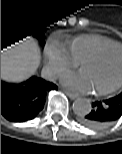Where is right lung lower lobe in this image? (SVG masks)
I'll list each match as a JSON object with an SVG mask.
<instances>
[{"label":"right lung lower lobe","instance_id":"obj_1","mask_svg":"<svg viewBox=\"0 0 122 154\" xmlns=\"http://www.w3.org/2000/svg\"><path fill=\"white\" fill-rule=\"evenodd\" d=\"M57 86L32 77L19 84L1 81V114L9 121L31 120L43 109L47 92Z\"/></svg>","mask_w":122,"mask_h":154}]
</instances>
